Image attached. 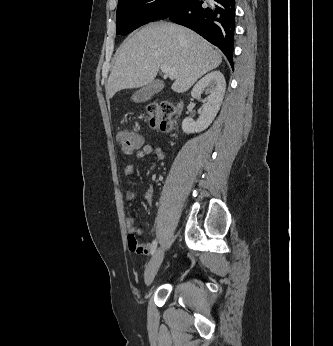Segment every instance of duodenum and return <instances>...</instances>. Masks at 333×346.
Instances as JSON below:
<instances>
[{
  "label": "duodenum",
  "instance_id": "obj_1",
  "mask_svg": "<svg viewBox=\"0 0 333 346\" xmlns=\"http://www.w3.org/2000/svg\"><path fill=\"white\" fill-rule=\"evenodd\" d=\"M182 105H183V102H182V101H179V102H178V113L181 112Z\"/></svg>",
  "mask_w": 333,
  "mask_h": 346
}]
</instances>
